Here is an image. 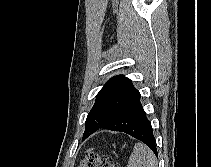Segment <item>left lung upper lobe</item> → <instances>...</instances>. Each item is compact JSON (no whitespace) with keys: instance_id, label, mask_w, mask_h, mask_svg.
I'll return each instance as SVG.
<instances>
[{"instance_id":"obj_1","label":"left lung upper lobe","mask_w":211,"mask_h":167,"mask_svg":"<svg viewBox=\"0 0 211 167\" xmlns=\"http://www.w3.org/2000/svg\"><path fill=\"white\" fill-rule=\"evenodd\" d=\"M139 95L129 78L124 76L111 78L96 96L95 104L85 122L83 136L110 122Z\"/></svg>"}]
</instances>
